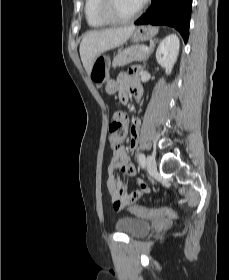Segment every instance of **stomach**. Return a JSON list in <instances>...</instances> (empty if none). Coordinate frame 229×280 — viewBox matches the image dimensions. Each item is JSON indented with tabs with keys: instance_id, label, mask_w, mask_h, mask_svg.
<instances>
[{
	"instance_id": "stomach-1",
	"label": "stomach",
	"mask_w": 229,
	"mask_h": 280,
	"mask_svg": "<svg viewBox=\"0 0 229 280\" xmlns=\"http://www.w3.org/2000/svg\"><path fill=\"white\" fill-rule=\"evenodd\" d=\"M158 33V28L153 26H140L134 30L131 40L134 43L145 42L153 39ZM111 61L107 56H98L90 69L89 78L97 83H105L109 80Z\"/></svg>"
}]
</instances>
